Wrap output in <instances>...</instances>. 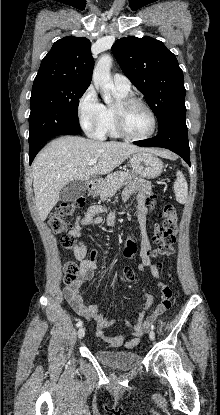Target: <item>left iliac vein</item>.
I'll return each instance as SVG.
<instances>
[{
    "mask_svg": "<svg viewBox=\"0 0 220 415\" xmlns=\"http://www.w3.org/2000/svg\"><path fill=\"white\" fill-rule=\"evenodd\" d=\"M149 338H150V340H154L155 339V332L153 330H151L149 332Z\"/></svg>",
    "mask_w": 220,
    "mask_h": 415,
    "instance_id": "obj_1",
    "label": "left iliac vein"
}]
</instances>
